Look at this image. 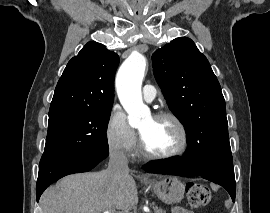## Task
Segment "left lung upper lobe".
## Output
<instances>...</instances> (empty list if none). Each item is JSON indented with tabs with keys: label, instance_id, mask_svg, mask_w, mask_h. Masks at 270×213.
I'll list each match as a JSON object with an SVG mask.
<instances>
[{
	"label": "left lung upper lobe",
	"instance_id": "left-lung-upper-lobe-1",
	"mask_svg": "<svg viewBox=\"0 0 270 213\" xmlns=\"http://www.w3.org/2000/svg\"><path fill=\"white\" fill-rule=\"evenodd\" d=\"M153 72L173 114L185 126L187 143L202 165L233 163L226 106L207 58L186 37L152 55Z\"/></svg>",
	"mask_w": 270,
	"mask_h": 213
}]
</instances>
